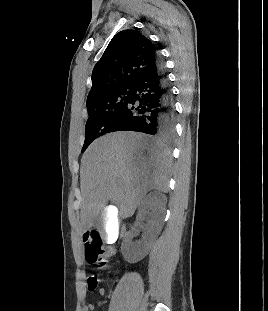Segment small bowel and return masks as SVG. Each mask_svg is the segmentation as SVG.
<instances>
[{
    "label": "small bowel",
    "instance_id": "c3829d8e",
    "mask_svg": "<svg viewBox=\"0 0 268 311\" xmlns=\"http://www.w3.org/2000/svg\"><path fill=\"white\" fill-rule=\"evenodd\" d=\"M83 309L84 311H93L94 307L92 304H86Z\"/></svg>",
    "mask_w": 268,
    "mask_h": 311
}]
</instances>
